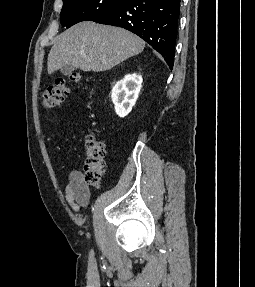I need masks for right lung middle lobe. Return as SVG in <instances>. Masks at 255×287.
<instances>
[{"instance_id":"right-lung-middle-lobe-1","label":"right lung middle lobe","mask_w":255,"mask_h":287,"mask_svg":"<svg viewBox=\"0 0 255 287\" xmlns=\"http://www.w3.org/2000/svg\"><path fill=\"white\" fill-rule=\"evenodd\" d=\"M125 0H63L60 21L63 27L86 20H93L104 11Z\"/></svg>"}]
</instances>
